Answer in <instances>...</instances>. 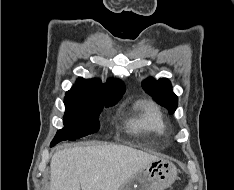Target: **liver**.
<instances>
[{"label": "liver", "mask_w": 234, "mask_h": 190, "mask_svg": "<svg viewBox=\"0 0 234 190\" xmlns=\"http://www.w3.org/2000/svg\"><path fill=\"white\" fill-rule=\"evenodd\" d=\"M156 159L115 144L59 150L50 163V190H119L129 177Z\"/></svg>", "instance_id": "liver-1"}]
</instances>
